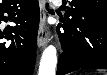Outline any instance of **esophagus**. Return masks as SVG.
I'll use <instances>...</instances> for the list:
<instances>
[{
    "label": "esophagus",
    "instance_id": "1",
    "mask_svg": "<svg viewBox=\"0 0 107 75\" xmlns=\"http://www.w3.org/2000/svg\"><path fill=\"white\" fill-rule=\"evenodd\" d=\"M39 10H40V19H39V28L37 35V44L41 49L48 43V30L46 24V12H45V0H39Z\"/></svg>",
    "mask_w": 107,
    "mask_h": 75
}]
</instances>
